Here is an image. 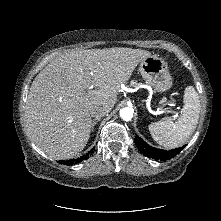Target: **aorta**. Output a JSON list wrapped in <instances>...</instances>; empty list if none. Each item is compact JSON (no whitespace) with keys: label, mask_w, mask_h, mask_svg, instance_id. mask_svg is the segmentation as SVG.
<instances>
[{"label":"aorta","mask_w":221,"mask_h":221,"mask_svg":"<svg viewBox=\"0 0 221 221\" xmlns=\"http://www.w3.org/2000/svg\"><path fill=\"white\" fill-rule=\"evenodd\" d=\"M133 114H134V110L129 107H124L120 110V117L124 121H130L133 117Z\"/></svg>","instance_id":"762f6f07"}]
</instances>
